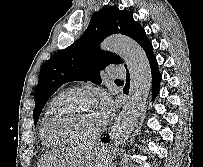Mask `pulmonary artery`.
<instances>
[{
  "mask_svg": "<svg viewBox=\"0 0 203 167\" xmlns=\"http://www.w3.org/2000/svg\"><path fill=\"white\" fill-rule=\"evenodd\" d=\"M106 73L111 78H120L125 76V70L118 65H110L106 69Z\"/></svg>",
  "mask_w": 203,
  "mask_h": 167,
  "instance_id": "1",
  "label": "pulmonary artery"
}]
</instances>
